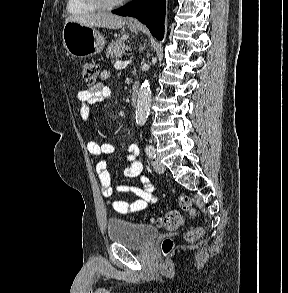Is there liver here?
I'll use <instances>...</instances> for the list:
<instances>
[{
  "instance_id": "6515ba94",
  "label": "liver",
  "mask_w": 288,
  "mask_h": 293,
  "mask_svg": "<svg viewBox=\"0 0 288 293\" xmlns=\"http://www.w3.org/2000/svg\"><path fill=\"white\" fill-rule=\"evenodd\" d=\"M79 22L89 27H99L107 29H119L124 26L126 20L123 17L109 12H97L86 14H73L66 18L67 22Z\"/></svg>"
}]
</instances>
